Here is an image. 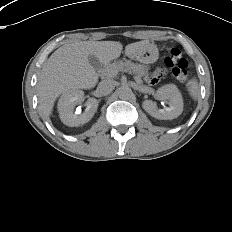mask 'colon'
<instances>
[{
  "label": "colon",
  "instance_id": "1",
  "mask_svg": "<svg viewBox=\"0 0 232 232\" xmlns=\"http://www.w3.org/2000/svg\"><path fill=\"white\" fill-rule=\"evenodd\" d=\"M164 65L167 67V71L177 80L186 82L189 79L188 62L180 50L171 49L164 58Z\"/></svg>",
  "mask_w": 232,
  "mask_h": 232
}]
</instances>
